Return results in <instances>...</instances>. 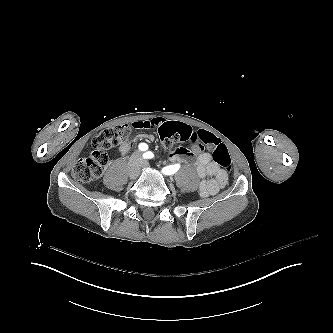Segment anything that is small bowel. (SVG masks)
I'll return each mask as SVG.
<instances>
[{
    "mask_svg": "<svg viewBox=\"0 0 333 333\" xmlns=\"http://www.w3.org/2000/svg\"><path fill=\"white\" fill-rule=\"evenodd\" d=\"M168 121L161 117H155L148 120H138L133 122L136 129H159ZM175 123V122H173ZM205 132V131H203ZM201 134L202 132H198ZM154 136L151 134H139L133 140L118 146V151L122 155L128 154L137 143L151 142ZM169 160L172 162L188 163L191 159L190 152L185 148H177L169 153ZM195 171L197 176L202 179L199 185V195L201 197H209L217 194L227 182V173L221 169L213 160L209 153H201L195 161ZM210 177L209 179H205Z\"/></svg>",
    "mask_w": 333,
    "mask_h": 333,
    "instance_id": "c3829d8e",
    "label": "small bowel"
}]
</instances>
